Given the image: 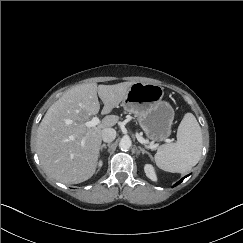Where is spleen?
I'll use <instances>...</instances> for the list:
<instances>
[{"instance_id":"spleen-1","label":"spleen","mask_w":243,"mask_h":243,"mask_svg":"<svg viewBox=\"0 0 243 243\" xmlns=\"http://www.w3.org/2000/svg\"><path fill=\"white\" fill-rule=\"evenodd\" d=\"M201 153V128L195 116L186 113L177 130V142L161 145L154 159L160 169L184 174L199 162Z\"/></svg>"}]
</instances>
